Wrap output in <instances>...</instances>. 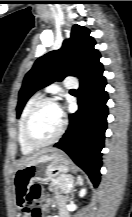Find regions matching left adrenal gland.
<instances>
[{
  "instance_id": "1",
  "label": "left adrenal gland",
  "mask_w": 132,
  "mask_h": 217,
  "mask_svg": "<svg viewBox=\"0 0 132 217\" xmlns=\"http://www.w3.org/2000/svg\"><path fill=\"white\" fill-rule=\"evenodd\" d=\"M77 184H79V185L83 184V177L81 175H78L76 177V182H75L74 186H76ZM74 186L72 187L71 191H73ZM70 199H73V196H71Z\"/></svg>"
}]
</instances>
